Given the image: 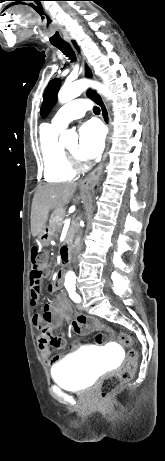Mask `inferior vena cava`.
I'll return each instance as SVG.
<instances>
[{"mask_svg": "<svg viewBox=\"0 0 165 461\" xmlns=\"http://www.w3.org/2000/svg\"><path fill=\"white\" fill-rule=\"evenodd\" d=\"M80 249H81V245L79 244L77 247V251H79Z\"/></svg>", "mask_w": 165, "mask_h": 461, "instance_id": "602c4592", "label": "inferior vena cava"}]
</instances>
